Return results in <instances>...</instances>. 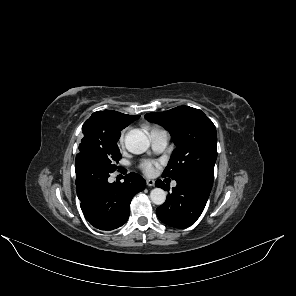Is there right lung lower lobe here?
Returning a JSON list of instances; mask_svg holds the SVG:
<instances>
[{
	"label": "right lung lower lobe",
	"instance_id": "right-lung-lower-lobe-1",
	"mask_svg": "<svg viewBox=\"0 0 296 296\" xmlns=\"http://www.w3.org/2000/svg\"><path fill=\"white\" fill-rule=\"evenodd\" d=\"M76 190L86 220L100 230H113L129 218L130 202L144 190L145 180L136 173L125 181L109 183V172L95 157L79 152L75 160Z\"/></svg>",
	"mask_w": 296,
	"mask_h": 296
}]
</instances>
